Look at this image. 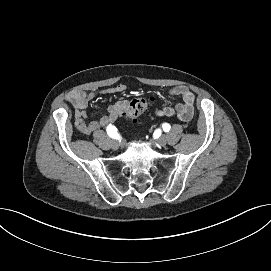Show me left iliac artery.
<instances>
[{
  "label": "left iliac artery",
  "mask_w": 271,
  "mask_h": 271,
  "mask_svg": "<svg viewBox=\"0 0 271 271\" xmlns=\"http://www.w3.org/2000/svg\"><path fill=\"white\" fill-rule=\"evenodd\" d=\"M162 127H163V130L165 131V132H168L169 130H170V125L169 124H167V123H164L163 125H162Z\"/></svg>",
  "instance_id": "obj_1"
}]
</instances>
